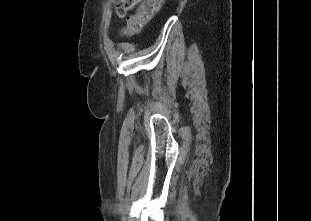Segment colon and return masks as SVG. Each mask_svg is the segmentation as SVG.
Returning <instances> with one entry per match:
<instances>
[{"label": "colon", "mask_w": 311, "mask_h": 221, "mask_svg": "<svg viewBox=\"0 0 311 221\" xmlns=\"http://www.w3.org/2000/svg\"><path fill=\"white\" fill-rule=\"evenodd\" d=\"M165 0H142L135 14L129 17L127 25L123 28L125 35H134L140 32L146 24L156 15ZM137 0L114 1L115 17H122L131 8H136Z\"/></svg>", "instance_id": "colon-1"}]
</instances>
